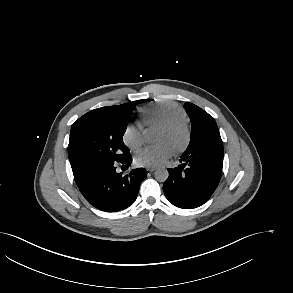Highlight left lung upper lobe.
<instances>
[{
    "instance_id": "5c2ea615",
    "label": "left lung upper lobe",
    "mask_w": 293,
    "mask_h": 293,
    "mask_svg": "<svg viewBox=\"0 0 293 293\" xmlns=\"http://www.w3.org/2000/svg\"><path fill=\"white\" fill-rule=\"evenodd\" d=\"M192 125L190 143L183 155L195 151H210L223 156V142L212 116L192 103H185Z\"/></svg>"
}]
</instances>
